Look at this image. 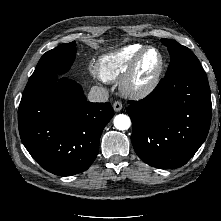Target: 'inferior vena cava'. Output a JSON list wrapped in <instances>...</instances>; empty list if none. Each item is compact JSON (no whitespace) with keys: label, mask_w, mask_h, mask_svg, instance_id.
<instances>
[{"label":"inferior vena cava","mask_w":221,"mask_h":221,"mask_svg":"<svg viewBox=\"0 0 221 221\" xmlns=\"http://www.w3.org/2000/svg\"><path fill=\"white\" fill-rule=\"evenodd\" d=\"M109 98V92L104 87L93 86L88 94L90 102H106Z\"/></svg>","instance_id":"602c4592"}]
</instances>
